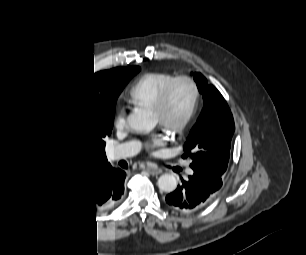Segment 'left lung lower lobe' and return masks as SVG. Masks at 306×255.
I'll list each match as a JSON object with an SVG mask.
<instances>
[{
  "label": "left lung lower lobe",
  "instance_id": "left-lung-lower-lobe-1",
  "mask_svg": "<svg viewBox=\"0 0 306 255\" xmlns=\"http://www.w3.org/2000/svg\"><path fill=\"white\" fill-rule=\"evenodd\" d=\"M192 169L188 179L181 178L182 183L166 196L168 205L177 211L191 212L203 207L222 186V176L211 169L202 166Z\"/></svg>",
  "mask_w": 306,
  "mask_h": 255
}]
</instances>
